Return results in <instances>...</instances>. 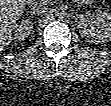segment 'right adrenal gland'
Masks as SVG:
<instances>
[{
  "label": "right adrenal gland",
  "mask_w": 111,
  "mask_h": 106,
  "mask_svg": "<svg viewBox=\"0 0 111 106\" xmlns=\"http://www.w3.org/2000/svg\"><path fill=\"white\" fill-rule=\"evenodd\" d=\"M29 13H30V14H33L34 16H36V14H35V13H33L32 11H30Z\"/></svg>",
  "instance_id": "right-adrenal-gland-1"
}]
</instances>
